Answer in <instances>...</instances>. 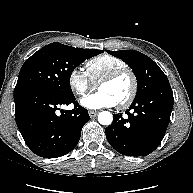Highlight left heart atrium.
I'll list each match as a JSON object with an SVG mask.
<instances>
[{
    "instance_id": "left-heart-atrium-1",
    "label": "left heart atrium",
    "mask_w": 193,
    "mask_h": 193,
    "mask_svg": "<svg viewBox=\"0 0 193 193\" xmlns=\"http://www.w3.org/2000/svg\"><path fill=\"white\" fill-rule=\"evenodd\" d=\"M81 105L87 109L111 108L117 105L115 99L107 92L98 91L85 96L80 101Z\"/></svg>"
}]
</instances>
